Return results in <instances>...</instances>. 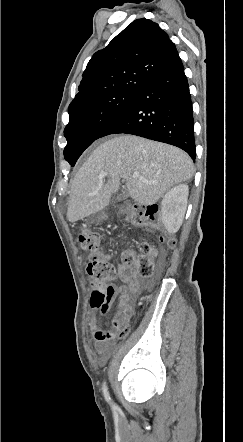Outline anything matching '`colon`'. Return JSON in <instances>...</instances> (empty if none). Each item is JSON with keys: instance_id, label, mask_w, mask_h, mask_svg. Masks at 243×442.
I'll return each mask as SVG.
<instances>
[{"instance_id": "1", "label": "colon", "mask_w": 243, "mask_h": 442, "mask_svg": "<svg viewBox=\"0 0 243 442\" xmlns=\"http://www.w3.org/2000/svg\"><path fill=\"white\" fill-rule=\"evenodd\" d=\"M125 219L134 226H146L150 228H159L160 220L158 217V206L148 204L136 207L129 211ZM168 244H173L170 237L162 238ZM79 244L81 248L88 253L87 274L90 280L92 295V306L101 308L103 305L110 304L114 296V289L109 284L114 275V270L108 263L107 255L100 248V238L98 234L88 229H82L79 235ZM157 255V250L153 244L144 241L139 246V254L135 255L132 251H125L122 260L126 265H134L142 277H149L153 273V258ZM132 313L121 316L113 322L114 332L105 333L104 339L110 340L115 337H123L130 331V318Z\"/></svg>"}]
</instances>
